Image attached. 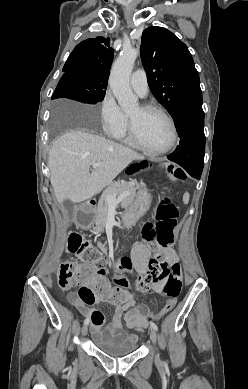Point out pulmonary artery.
Here are the masks:
<instances>
[{"label":"pulmonary artery","mask_w":248,"mask_h":389,"mask_svg":"<svg viewBox=\"0 0 248 389\" xmlns=\"http://www.w3.org/2000/svg\"><path fill=\"white\" fill-rule=\"evenodd\" d=\"M132 89L141 97L144 98L148 94V83L146 73L143 69L136 70L130 78Z\"/></svg>","instance_id":"e3ab8cb5"}]
</instances>
